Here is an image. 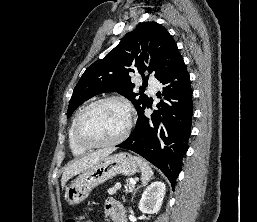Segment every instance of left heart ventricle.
I'll use <instances>...</instances> for the list:
<instances>
[{
	"label": "left heart ventricle",
	"instance_id": "b2bd125f",
	"mask_svg": "<svg viewBox=\"0 0 257 222\" xmlns=\"http://www.w3.org/2000/svg\"><path fill=\"white\" fill-rule=\"evenodd\" d=\"M127 124V111L117 102H109L94 108L84 119L82 135L93 142L110 141L118 137Z\"/></svg>",
	"mask_w": 257,
	"mask_h": 222
}]
</instances>
